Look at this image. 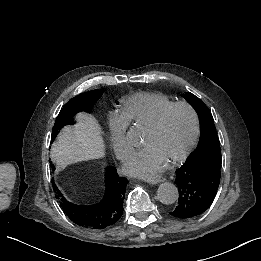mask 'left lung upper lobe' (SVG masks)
Returning <instances> with one entry per match:
<instances>
[{
  "instance_id": "left-lung-upper-lobe-1",
  "label": "left lung upper lobe",
  "mask_w": 261,
  "mask_h": 261,
  "mask_svg": "<svg viewBox=\"0 0 261 261\" xmlns=\"http://www.w3.org/2000/svg\"><path fill=\"white\" fill-rule=\"evenodd\" d=\"M195 109L201 122V136L197 148L187 158L185 164L197 166L202 163H213L221 166V149L212 114L209 108L194 94L183 95Z\"/></svg>"
}]
</instances>
